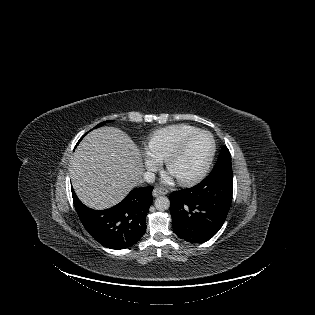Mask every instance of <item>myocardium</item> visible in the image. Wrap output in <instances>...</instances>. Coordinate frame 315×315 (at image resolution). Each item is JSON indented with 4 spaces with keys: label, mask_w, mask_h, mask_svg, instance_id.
Segmentation results:
<instances>
[{
    "label": "myocardium",
    "mask_w": 315,
    "mask_h": 315,
    "mask_svg": "<svg viewBox=\"0 0 315 315\" xmlns=\"http://www.w3.org/2000/svg\"><path fill=\"white\" fill-rule=\"evenodd\" d=\"M199 134H206L209 137L211 143L210 152L204 165L198 172L188 177L183 178L176 177L177 181L182 185L195 184L206 176L207 172L211 167L216 152V144L213 135L207 130L198 129L185 136L165 159V167L172 174L171 167L173 162L183 153L190 140Z\"/></svg>",
    "instance_id": "myocardium-1"
}]
</instances>
